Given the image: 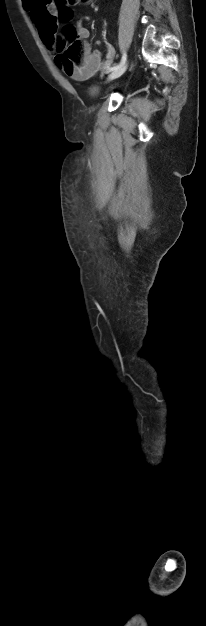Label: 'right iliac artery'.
Returning a JSON list of instances; mask_svg holds the SVG:
<instances>
[{
	"instance_id": "obj_1",
	"label": "right iliac artery",
	"mask_w": 206,
	"mask_h": 626,
	"mask_svg": "<svg viewBox=\"0 0 206 626\" xmlns=\"http://www.w3.org/2000/svg\"><path fill=\"white\" fill-rule=\"evenodd\" d=\"M126 58H127L126 53H123L120 63L118 65L110 68V71H113V70H116V69L122 67L125 64V62H126Z\"/></svg>"
}]
</instances>
